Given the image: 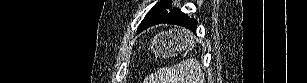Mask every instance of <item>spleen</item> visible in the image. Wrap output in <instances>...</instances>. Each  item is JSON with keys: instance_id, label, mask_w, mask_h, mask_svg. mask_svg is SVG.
I'll return each instance as SVG.
<instances>
[{"instance_id": "spleen-1", "label": "spleen", "mask_w": 307, "mask_h": 83, "mask_svg": "<svg viewBox=\"0 0 307 83\" xmlns=\"http://www.w3.org/2000/svg\"><path fill=\"white\" fill-rule=\"evenodd\" d=\"M144 83H205L201 64L190 58L171 67L161 68Z\"/></svg>"}]
</instances>
